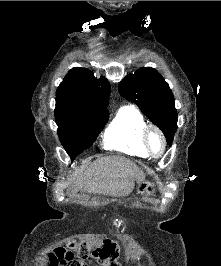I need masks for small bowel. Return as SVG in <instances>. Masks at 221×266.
Masks as SVG:
<instances>
[{
    "mask_svg": "<svg viewBox=\"0 0 221 266\" xmlns=\"http://www.w3.org/2000/svg\"><path fill=\"white\" fill-rule=\"evenodd\" d=\"M67 246H52L48 258V266H89L87 263L81 262V258L76 257V252H60L67 251Z\"/></svg>",
    "mask_w": 221,
    "mask_h": 266,
    "instance_id": "obj_1",
    "label": "small bowel"
}]
</instances>
